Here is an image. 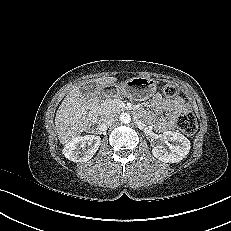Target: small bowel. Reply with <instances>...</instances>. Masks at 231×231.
<instances>
[{"mask_svg":"<svg viewBox=\"0 0 231 231\" xmlns=\"http://www.w3.org/2000/svg\"><path fill=\"white\" fill-rule=\"evenodd\" d=\"M151 106L157 112H165V116L157 120L156 114L153 112L145 113L140 110V113L145 115L146 120L154 124L157 130L162 132L172 129L178 116L190 110L182 98L165 99L160 94L153 97Z\"/></svg>","mask_w":231,"mask_h":231,"instance_id":"obj_1","label":"small bowel"}]
</instances>
